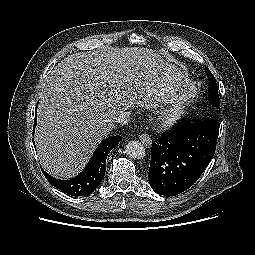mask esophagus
Returning a JSON list of instances; mask_svg holds the SVG:
<instances>
[{
	"mask_svg": "<svg viewBox=\"0 0 255 255\" xmlns=\"http://www.w3.org/2000/svg\"><path fill=\"white\" fill-rule=\"evenodd\" d=\"M139 138L146 147H150L152 145V139L147 133L141 134Z\"/></svg>",
	"mask_w": 255,
	"mask_h": 255,
	"instance_id": "34e87169",
	"label": "esophagus"
}]
</instances>
